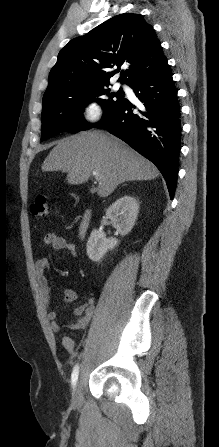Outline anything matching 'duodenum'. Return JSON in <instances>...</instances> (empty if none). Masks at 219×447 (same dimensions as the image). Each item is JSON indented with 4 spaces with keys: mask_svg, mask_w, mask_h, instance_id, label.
I'll use <instances>...</instances> for the list:
<instances>
[{
    "mask_svg": "<svg viewBox=\"0 0 219 447\" xmlns=\"http://www.w3.org/2000/svg\"><path fill=\"white\" fill-rule=\"evenodd\" d=\"M91 217H92L91 212H86L85 215L83 216L79 225V234L81 236L84 235L89 229Z\"/></svg>",
    "mask_w": 219,
    "mask_h": 447,
    "instance_id": "obj_1",
    "label": "duodenum"
}]
</instances>
